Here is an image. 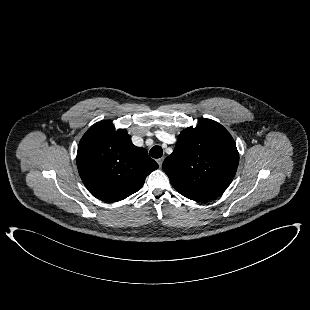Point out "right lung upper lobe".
Wrapping results in <instances>:
<instances>
[{
  "label": "right lung upper lobe",
  "mask_w": 310,
  "mask_h": 310,
  "mask_svg": "<svg viewBox=\"0 0 310 310\" xmlns=\"http://www.w3.org/2000/svg\"><path fill=\"white\" fill-rule=\"evenodd\" d=\"M77 167L89 192L100 200L120 201L137 192L158 164L136 147L125 129L111 120L92 125L80 140Z\"/></svg>",
  "instance_id": "right-lung-upper-lobe-1"
}]
</instances>
